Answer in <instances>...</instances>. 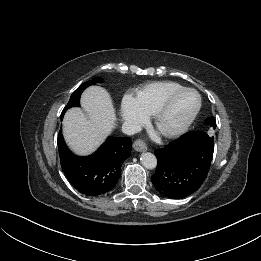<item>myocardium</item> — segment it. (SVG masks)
<instances>
[{"label": "myocardium", "mask_w": 261, "mask_h": 261, "mask_svg": "<svg viewBox=\"0 0 261 261\" xmlns=\"http://www.w3.org/2000/svg\"><path fill=\"white\" fill-rule=\"evenodd\" d=\"M185 92H193L196 94V96L198 98V103H197L195 110L186 119V121H184L180 126L174 128V129H171V130L160 129V122H161L163 116L165 115V113L167 112V110L169 109L173 100ZM201 106H202V97L197 90H195L193 88H189V87H183L181 89H178V90L172 92L171 94H169L164 99V101L161 103V105L157 108L155 113L153 114L154 126L159 130V132L164 137L171 138V137L179 136V135L183 134L192 125V123L194 122V120L196 119L197 115L200 112Z\"/></svg>", "instance_id": "myocardium-1"}]
</instances>
